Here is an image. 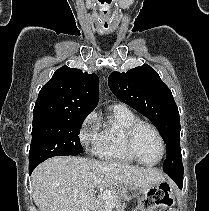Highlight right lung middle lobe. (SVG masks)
<instances>
[{"mask_svg": "<svg viewBox=\"0 0 209 211\" xmlns=\"http://www.w3.org/2000/svg\"><path fill=\"white\" fill-rule=\"evenodd\" d=\"M86 117L87 115L33 117L29 166H37L53 156L82 153L78 135Z\"/></svg>", "mask_w": 209, "mask_h": 211, "instance_id": "obj_1", "label": "right lung middle lobe"}]
</instances>
